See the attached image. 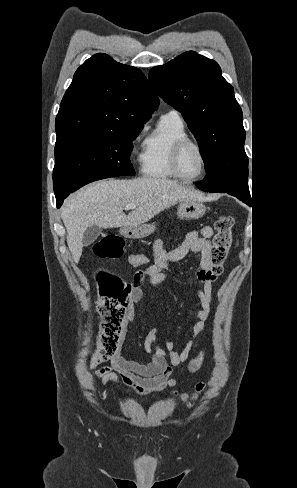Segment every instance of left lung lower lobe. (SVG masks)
Listing matches in <instances>:
<instances>
[{"label":"left lung lower lobe","instance_id":"1","mask_svg":"<svg viewBox=\"0 0 297 488\" xmlns=\"http://www.w3.org/2000/svg\"><path fill=\"white\" fill-rule=\"evenodd\" d=\"M235 197H237V196H235ZM237 198L240 199L245 204H247L248 206H251V198H243V197H237Z\"/></svg>","mask_w":297,"mask_h":488}]
</instances>
